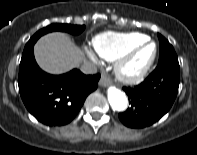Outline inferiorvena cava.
<instances>
[{"label":"inferior vena cava","instance_id":"obj_1","mask_svg":"<svg viewBox=\"0 0 197 155\" xmlns=\"http://www.w3.org/2000/svg\"><path fill=\"white\" fill-rule=\"evenodd\" d=\"M80 70L84 74H95L97 72V67L91 62H84Z\"/></svg>","mask_w":197,"mask_h":155}]
</instances>
